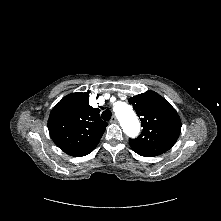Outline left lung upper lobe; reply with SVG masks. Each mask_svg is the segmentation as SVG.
I'll list each match as a JSON object with an SVG mask.
<instances>
[{"label":"left lung upper lobe","instance_id":"left-lung-upper-lobe-1","mask_svg":"<svg viewBox=\"0 0 221 221\" xmlns=\"http://www.w3.org/2000/svg\"><path fill=\"white\" fill-rule=\"evenodd\" d=\"M141 120L143 130L129 145L139 155L154 157L168 151L181 132V120L175 109L158 93L147 91L129 98Z\"/></svg>","mask_w":221,"mask_h":221}]
</instances>
